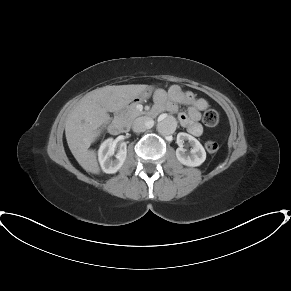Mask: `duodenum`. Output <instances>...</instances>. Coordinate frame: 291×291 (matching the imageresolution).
Returning <instances> with one entry per match:
<instances>
[{
    "label": "duodenum",
    "mask_w": 291,
    "mask_h": 291,
    "mask_svg": "<svg viewBox=\"0 0 291 291\" xmlns=\"http://www.w3.org/2000/svg\"><path fill=\"white\" fill-rule=\"evenodd\" d=\"M118 113H119L118 111H115V113L112 116L113 120L108 125V129L112 135H119L126 132V127L124 126L122 121L117 118Z\"/></svg>",
    "instance_id": "1"
}]
</instances>
